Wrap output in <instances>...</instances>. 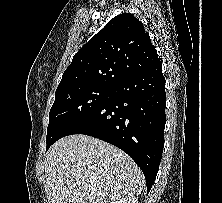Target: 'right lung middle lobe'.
<instances>
[{
  "label": "right lung middle lobe",
  "mask_w": 222,
  "mask_h": 203,
  "mask_svg": "<svg viewBox=\"0 0 222 203\" xmlns=\"http://www.w3.org/2000/svg\"><path fill=\"white\" fill-rule=\"evenodd\" d=\"M110 92L111 87L97 85L73 86L56 91L49 113L47 149L69 125L101 105Z\"/></svg>",
  "instance_id": "obj_1"
}]
</instances>
